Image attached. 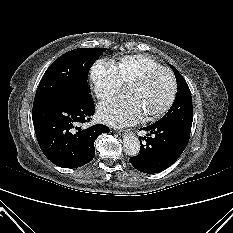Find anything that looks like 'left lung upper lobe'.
<instances>
[{
    "label": "left lung upper lobe",
    "instance_id": "1",
    "mask_svg": "<svg viewBox=\"0 0 233 233\" xmlns=\"http://www.w3.org/2000/svg\"><path fill=\"white\" fill-rule=\"evenodd\" d=\"M177 80V94L169 111L159 121L170 122L178 128L191 132L193 121V106L190 89L178 70L170 65Z\"/></svg>",
    "mask_w": 233,
    "mask_h": 233
}]
</instances>
